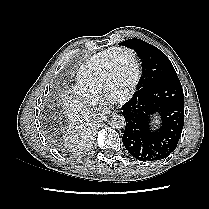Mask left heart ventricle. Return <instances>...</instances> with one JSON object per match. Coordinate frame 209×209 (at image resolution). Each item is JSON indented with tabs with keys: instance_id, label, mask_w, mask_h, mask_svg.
Returning a JSON list of instances; mask_svg holds the SVG:
<instances>
[{
	"instance_id": "b2bd125f",
	"label": "left heart ventricle",
	"mask_w": 209,
	"mask_h": 209,
	"mask_svg": "<svg viewBox=\"0 0 209 209\" xmlns=\"http://www.w3.org/2000/svg\"><path fill=\"white\" fill-rule=\"evenodd\" d=\"M135 76V65L130 53H118L113 59V71L111 76L110 92L119 96L125 94Z\"/></svg>"
}]
</instances>
